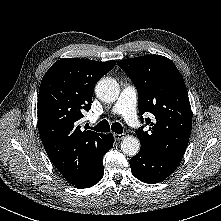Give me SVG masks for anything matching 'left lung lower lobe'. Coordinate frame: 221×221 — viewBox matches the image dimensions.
Segmentation results:
<instances>
[{"mask_svg":"<svg viewBox=\"0 0 221 221\" xmlns=\"http://www.w3.org/2000/svg\"><path fill=\"white\" fill-rule=\"evenodd\" d=\"M180 162V159L152 154L143 149L129 161L132 174L149 184L166 179L176 170Z\"/></svg>","mask_w":221,"mask_h":221,"instance_id":"left-lung-lower-lobe-1","label":"left lung lower lobe"}]
</instances>
